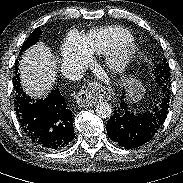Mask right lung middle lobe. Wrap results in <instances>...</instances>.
Segmentation results:
<instances>
[{"label":"right lung middle lobe","instance_id":"dd1d6c3e","mask_svg":"<svg viewBox=\"0 0 183 183\" xmlns=\"http://www.w3.org/2000/svg\"><path fill=\"white\" fill-rule=\"evenodd\" d=\"M42 34L40 27L36 28L31 35L27 38V40L23 43L21 51L20 52H24L27 48H29L30 46L34 45L36 42L39 41V37ZM18 60H16L15 62V70L17 73L18 68ZM17 75V74H16Z\"/></svg>","mask_w":183,"mask_h":183}]
</instances>
